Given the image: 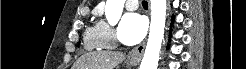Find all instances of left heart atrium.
<instances>
[{
  "mask_svg": "<svg viewBox=\"0 0 246 69\" xmlns=\"http://www.w3.org/2000/svg\"><path fill=\"white\" fill-rule=\"evenodd\" d=\"M145 17L138 13L125 14L118 29V38L125 45L139 43L146 32Z\"/></svg>",
  "mask_w": 246,
  "mask_h": 69,
  "instance_id": "obj_1",
  "label": "left heart atrium"
}]
</instances>
